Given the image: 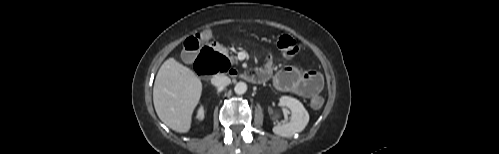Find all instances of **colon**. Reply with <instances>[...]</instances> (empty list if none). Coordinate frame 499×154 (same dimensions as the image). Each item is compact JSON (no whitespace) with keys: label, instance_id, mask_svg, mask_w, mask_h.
I'll use <instances>...</instances> for the list:
<instances>
[{"label":"colon","instance_id":"obj_1","mask_svg":"<svg viewBox=\"0 0 499 154\" xmlns=\"http://www.w3.org/2000/svg\"><path fill=\"white\" fill-rule=\"evenodd\" d=\"M211 37L210 31H203L186 40L187 52L198 49L199 44ZM276 45L285 57H295L299 51L296 40L286 33H279L276 36ZM215 66L217 71H227L230 68L229 61L222 55L216 54ZM313 109H320L323 105V99L320 96H314L310 100Z\"/></svg>","mask_w":499,"mask_h":154}]
</instances>
